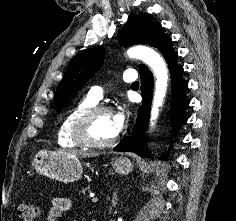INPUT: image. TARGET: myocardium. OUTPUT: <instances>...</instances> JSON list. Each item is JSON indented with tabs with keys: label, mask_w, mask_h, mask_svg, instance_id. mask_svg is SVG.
Masks as SVG:
<instances>
[{
	"label": "myocardium",
	"mask_w": 236,
	"mask_h": 221,
	"mask_svg": "<svg viewBox=\"0 0 236 221\" xmlns=\"http://www.w3.org/2000/svg\"><path fill=\"white\" fill-rule=\"evenodd\" d=\"M103 112L112 114L109 107L105 105H94L78 116L72 128V138L76 143L87 148H105L113 145L118 140V135L106 141H97L91 137L89 131L91 123L96 116Z\"/></svg>",
	"instance_id": "myocardium-1"
}]
</instances>
